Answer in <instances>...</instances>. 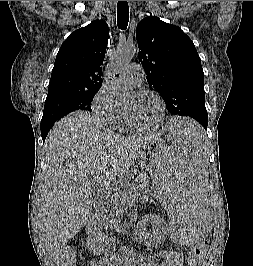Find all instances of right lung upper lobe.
<instances>
[{
    "instance_id": "right-lung-upper-lobe-1",
    "label": "right lung upper lobe",
    "mask_w": 253,
    "mask_h": 266,
    "mask_svg": "<svg viewBox=\"0 0 253 266\" xmlns=\"http://www.w3.org/2000/svg\"><path fill=\"white\" fill-rule=\"evenodd\" d=\"M108 38L109 28L104 20H96L74 31L56 56L48 94L100 88Z\"/></svg>"
}]
</instances>
